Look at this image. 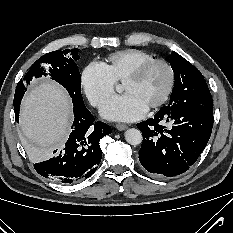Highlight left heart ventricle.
I'll use <instances>...</instances> for the list:
<instances>
[{"instance_id": "left-heart-ventricle-1", "label": "left heart ventricle", "mask_w": 233, "mask_h": 233, "mask_svg": "<svg viewBox=\"0 0 233 233\" xmlns=\"http://www.w3.org/2000/svg\"><path fill=\"white\" fill-rule=\"evenodd\" d=\"M167 83V70L162 65H155L141 79L124 82L123 90L133 94L145 106L149 107L162 96Z\"/></svg>"}]
</instances>
